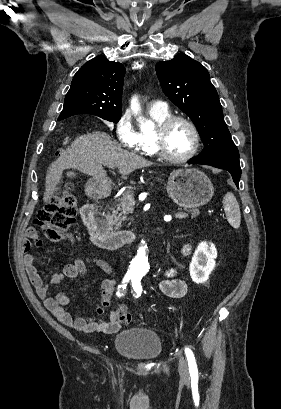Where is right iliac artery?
I'll use <instances>...</instances> for the list:
<instances>
[{"label": "right iliac artery", "mask_w": 281, "mask_h": 409, "mask_svg": "<svg viewBox=\"0 0 281 409\" xmlns=\"http://www.w3.org/2000/svg\"><path fill=\"white\" fill-rule=\"evenodd\" d=\"M131 279V276L126 275L123 280H122V284L119 285L118 287V291H117V296L120 297L121 295H123V291L124 289H126L127 283L129 282V280Z\"/></svg>", "instance_id": "obj_1"}]
</instances>
